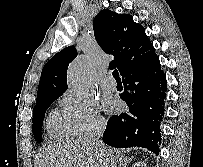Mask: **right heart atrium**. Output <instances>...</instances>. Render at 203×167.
Listing matches in <instances>:
<instances>
[{
    "instance_id": "1",
    "label": "right heart atrium",
    "mask_w": 203,
    "mask_h": 167,
    "mask_svg": "<svg viewBox=\"0 0 203 167\" xmlns=\"http://www.w3.org/2000/svg\"><path fill=\"white\" fill-rule=\"evenodd\" d=\"M60 107L71 135L81 136L90 131L103 129L106 125L96 102L90 98L66 93L61 99Z\"/></svg>"
}]
</instances>
